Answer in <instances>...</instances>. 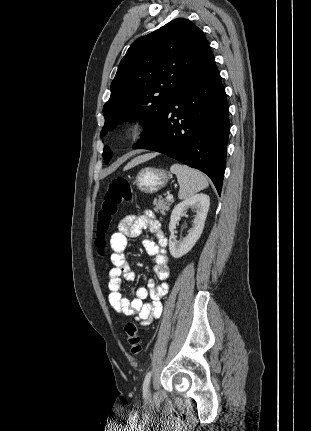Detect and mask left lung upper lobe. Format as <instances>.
I'll return each instance as SVG.
<instances>
[{
	"label": "left lung upper lobe",
	"mask_w": 311,
	"mask_h": 431,
	"mask_svg": "<svg viewBox=\"0 0 311 431\" xmlns=\"http://www.w3.org/2000/svg\"><path fill=\"white\" fill-rule=\"evenodd\" d=\"M210 50L209 43L191 21L178 18L135 40L121 60L111 83V96L103 107L101 137L117 124L143 123L146 142L158 129L180 87ZM112 152L104 148L108 163Z\"/></svg>",
	"instance_id": "left-lung-upper-lobe-1"
}]
</instances>
